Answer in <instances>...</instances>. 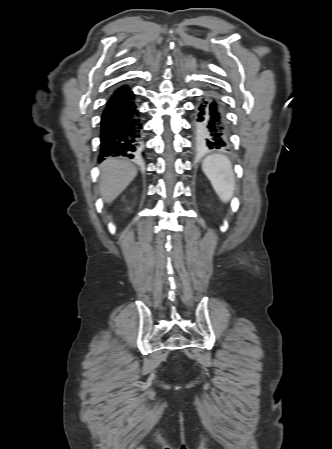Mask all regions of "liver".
I'll use <instances>...</instances> for the list:
<instances>
[{"label":"liver","instance_id":"6515ba94","mask_svg":"<svg viewBox=\"0 0 332 449\" xmlns=\"http://www.w3.org/2000/svg\"><path fill=\"white\" fill-rule=\"evenodd\" d=\"M100 170V194L107 203L115 200L137 175L133 164L114 158L104 160Z\"/></svg>","mask_w":332,"mask_h":449}]
</instances>
